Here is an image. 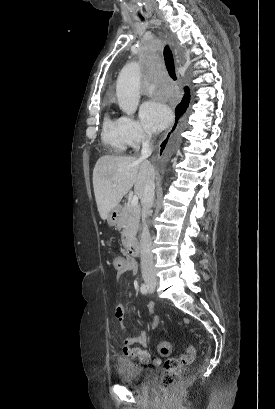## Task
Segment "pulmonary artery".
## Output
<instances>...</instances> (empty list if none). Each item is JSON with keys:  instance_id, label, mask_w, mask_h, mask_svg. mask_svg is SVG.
Returning a JSON list of instances; mask_svg holds the SVG:
<instances>
[{"instance_id": "1", "label": "pulmonary artery", "mask_w": 275, "mask_h": 409, "mask_svg": "<svg viewBox=\"0 0 275 409\" xmlns=\"http://www.w3.org/2000/svg\"><path fill=\"white\" fill-rule=\"evenodd\" d=\"M149 90H150L149 95H152V94L155 93V87L154 86H150Z\"/></svg>"}]
</instances>
